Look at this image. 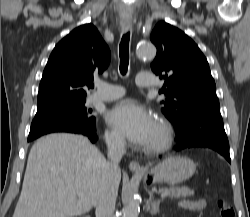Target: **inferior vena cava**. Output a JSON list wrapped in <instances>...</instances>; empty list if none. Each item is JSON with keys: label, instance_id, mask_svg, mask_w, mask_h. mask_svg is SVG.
Instances as JSON below:
<instances>
[{"label": "inferior vena cava", "instance_id": "obj_1", "mask_svg": "<svg viewBox=\"0 0 250 217\" xmlns=\"http://www.w3.org/2000/svg\"><path fill=\"white\" fill-rule=\"evenodd\" d=\"M109 161L103 166L102 183L96 203V217H115V203L120 182L119 162L125 154V139L119 134L107 136Z\"/></svg>", "mask_w": 250, "mask_h": 217}]
</instances>
